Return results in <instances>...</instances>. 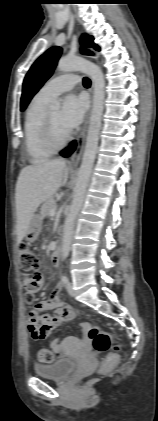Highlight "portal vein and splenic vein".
Listing matches in <instances>:
<instances>
[{"label": "portal vein and splenic vein", "mask_w": 158, "mask_h": 421, "mask_svg": "<svg viewBox=\"0 0 158 421\" xmlns=\"http://www.w3.org/2000/svg\"><path fill=\"white\" fill-rule=\"evenodd\" d=\"M56 213L55 209L50 210V216H54Z\"/></svg>", "instance_id": "portal-vein-and-splenic-vein-1"}]
</instances>
